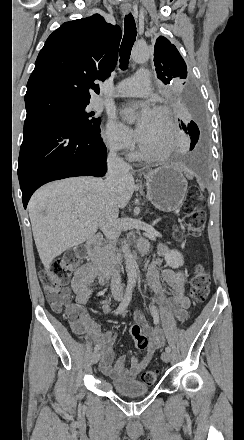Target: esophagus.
I'll return each mask as SVG.
<instances>
[{
	"label": "esophagus",
	"instance_id": "obj_1",
	"mask_svg": "<svg viewBox=\"0 0 244 440\" xmlns=\"http://www.w3.org/2000/svg\"><path fill=\"white\" fill-rule=\"evenodd\" d=\"M122 13L127 14L130 12V8L129 7H121Z\"/></svg>",
	"mask_w": 244,
	"mask_h": 440
}]
</instances>
